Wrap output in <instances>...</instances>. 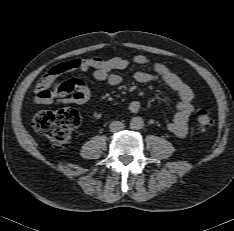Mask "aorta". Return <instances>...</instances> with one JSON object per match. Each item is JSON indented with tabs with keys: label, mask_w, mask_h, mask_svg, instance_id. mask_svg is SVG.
Wrapping results in <instances>:
<instances>
[{
	"label": "aorta",
	"mask_w": 234,
	"mask_h": 231,
	"mask_svg": "<svg viewBox=\"0 0 234 231\" xmlns=\"http://www.w3.org/2000/svg\"><path fill=\"white\" fill-rule=\"evenodd\" d=\"M143 126H144V120L139 116L133 117L130 121V128L134 130L142 129Z\"/></svg>",
	"instance_id": "1"
}]
</instances>
